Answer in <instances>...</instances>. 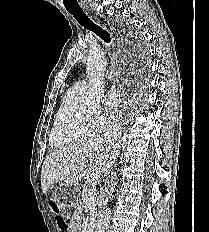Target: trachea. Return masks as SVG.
Listing matches in <instances>:
<instances>
[{"label":"trachea","mask_w":209,"mask_h":232,"mask_svg":"<svg viewBox=\"0 0 209 232\" xmlns=\"http://www.w3.org/2000/svg\"><path fill=\"white\" fill-rule=\"evenodd\" d=\"M78 21V23L89 31L98 35L105 43H110L111 38L107 31L103 30L100 26L96 25L83 10L69 12Z\"/></svg>","instance_id":"trachea-1"}]
</instances>
